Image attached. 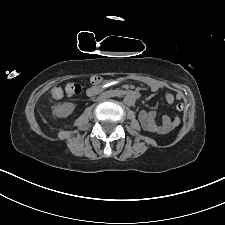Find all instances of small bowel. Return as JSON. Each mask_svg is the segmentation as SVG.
<instances>
[{
    "mask_svg": "<svg viewBox=\"0 0 225 225\" xmlns=\"http://www.w3.org/2000/svg\"><path fill=\"white\" fill-rule=\"evenodd\" d=\"M151 91L156 92L160 89L165 90V99L168 104H173L175 99H180L181 94L177 93L176 96L173 95L170 91H168L162 84L158 82H150L148 84ZM98 90L97 86L91 87L87 93L88 95L94 94ZM139 120L143 126V128L151 133L155 134H167L170 131H172L174 128H176L179 125V118L175 116L170 115H163L162 120L160 123L156 120V114L153 111H146L142 110L139 113Z\"/></svg>",
    "mask_w": 225,
    "mask_h": 225,
    "instance_id": "obj_1",
    "label": "small bowel"
}]
</instances>
